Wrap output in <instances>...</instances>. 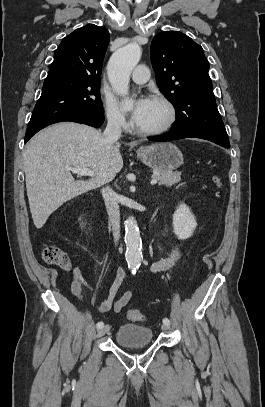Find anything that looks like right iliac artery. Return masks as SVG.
<instances>
[{
  "instance_id": "1",
  "label": "right iliac artery",
  "mask_w": 265,
  "mask_h": 407,
  "mask_svg": "<svg viewBox=\"0 0 265 407\" xmlns=\"http://www.w3.org/2000/svg\"><path fill=\"white\" fill-rule=\"evenodd\" d=\"M96 326H97L98 329H100V328H102L104 326V323L102 321H100V322L97 323Z\"/></svg>"
}]
</instances>
